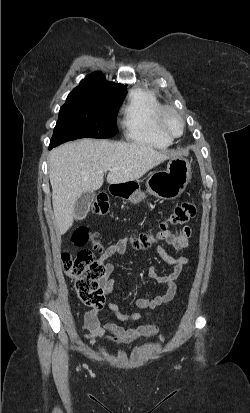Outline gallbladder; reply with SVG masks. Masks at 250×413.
<instances>
[{"label": "gallbladder", "mask_w": 250, "mask_h": 413, "mask_svg": "<svg viewBox=\"0 0 250 413\" xmlns=\"http://www.w3.org/2000/svg\"><path fill=\"white\" fill-rule=\"evenodd\" d=\"M95 198V193L88 191L83 193L76 201L74 208V217L76 220H82L86 217L90 205Z\"/></svg>", "instance_id": "1"}]
</instances>
